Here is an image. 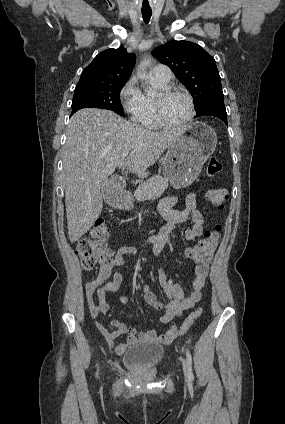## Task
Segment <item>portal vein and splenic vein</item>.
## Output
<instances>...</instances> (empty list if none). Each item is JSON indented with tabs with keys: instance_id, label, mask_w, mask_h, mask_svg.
Returning <instances> with one entry per match:
<instances>
[{
	"instance_id": "obj_1",
	"label": "portal vein and splenic vein",
	"mask_w": 285,
	"mask_h": 424,
	"mask_svg": "<svg viewBox=\"0 0 285 424\" xmlns=\"http://www.w3.org/2000/svg\"><path fill=\"white\" fill-rule=\"evenodd\" d=\"M128 154H129V152H124V153L122 154V157H123V158H126V157L128 156Z\"/></svg>"
}]
</instances>
